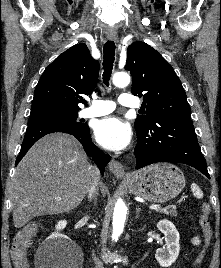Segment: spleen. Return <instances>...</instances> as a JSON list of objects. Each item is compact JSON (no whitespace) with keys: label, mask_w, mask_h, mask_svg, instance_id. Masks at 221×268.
Wrapping results in <instances>:
<instances>
[{"label":"spleen","mask_w":221,"mask_h":268,"mask_svg":"<svg viewBox=\"0 0 221 268\" xmlns=\"http://www.w3.org/2000/svg\"><path fill=\"white\" fill-rule=\"evenodd\" d=\"M191 190H192L193 194L195 195V197H197L199 199H201L203 197V192L196 183H192Z\"/></svg>","instance_id":"1"}]
</instances>
